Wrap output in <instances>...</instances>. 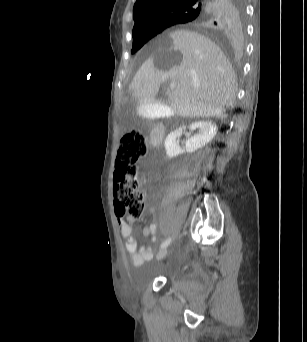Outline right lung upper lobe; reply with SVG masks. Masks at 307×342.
<instances>
[{
    "instance_id": "right-lung-upper-lobe-1",
    "label": "right lung upper lobe",
    "mask_w": 307,
    "mask_h": 342,
    "mask_svg": "<svg viewBox=\"0 0 307 342\" xmlns=\"http://www.w3.org/2000/svg\"><path fill=\"white\" fill-rule=\"evenodd\" d=\"M235 0H137L133 8L132 34L164 30L176 24H190L201 33L218 40L226 39L231 29ZM192 12L184 20L181 13Z\"/></svg>"
}]
</instances>
